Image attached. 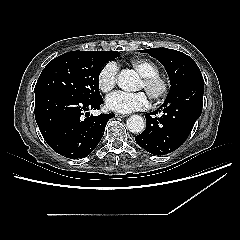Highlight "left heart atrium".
Returning <instances> with one entry per match:
<instances>
[{
	"instance_id": "left-heart-atrium-1",
	"label": "left heart atrium",
	"mask_w": 240,
	"mask_h": 240,
	"mask_svg": "<svg viewBox=\"0 0 240 240\" xmlns=\"http://www.w3.org/2000/svg\"><path fill=\"white\" fill-rule=\"evenodd\" d=\"M107 107L117 113H131L148 107L149 100L144 92L115 91L106 99Z\"/></svg>"
}]
</instances>
